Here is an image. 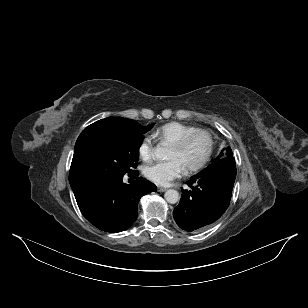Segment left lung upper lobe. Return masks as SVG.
Returning a JSON list of instances; mask_svg holds the SVG:
<instances>
[{"instance_id": "obj_1", "label": "left lung upper lobe", "mask_w": 308, "mask_h": 308, "mask_svg": "<svg viewBox=\"0 0 308 308\" xmlns=\"http://www.w3.org/2000/svg\"><path fill=\"white\" fill-rule=\"evenodd\" d=\"M233 154H232V150L230 149V147H227L226 148V152H221V154L218 156L217 159H221V158H224V157H232Z\"/></svg>"}]
</instances>
